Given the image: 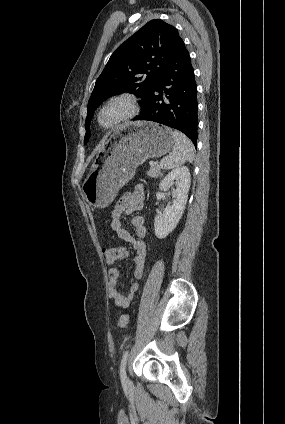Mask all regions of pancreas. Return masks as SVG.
<instances>
[{
	"label": "pancreas",
	"mask_w": 285,
	"mask_h": 424,
	"mask_svg": "<svg viewBox=\"0 0 285 424\" xmlns=\"http://www.w3.org/2000/svg\"><path fill=\"white\" fill-rule=\"evenodd\" d=\"M160 173H161V168H160V166L158 165V163H154V164L150 167V170L147 172V175H148L149 177L157 178V177H159Z\"/></svg>",
	"instance_id": "cf45deb5"
}]
</instances>
